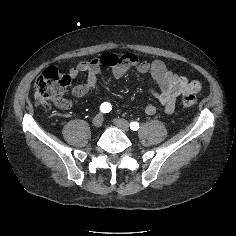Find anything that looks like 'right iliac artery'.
<instances>
[{
	"mask_svg": "<svg viewBox=\"0 0 236 236\" xmlns=\"http://www.w3.org/2000/svg\"><path fill=\"white\" fill-rule=\"evenodd\" d=\"M111 110H112L111 104L108 103V102H104V103H102L101 106H100V111H101L102 113H108V112H110Z\"/></svg>",
	"mask_w": 236,
	"mask_h": 236,
	"instance_id": "right-iliac-artery-1",
	"label": "right iliac artery"
}]
</instances>
